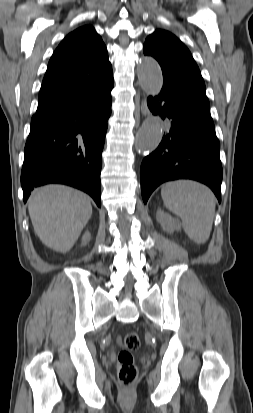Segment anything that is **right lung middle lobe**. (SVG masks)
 <instances>
[{
	"mask_svg": "<svg viewBox=\"0 0 253 413\" xmlns=\"http://www.w3.org/2000/svg\"><path fill=\"white\" fill-rule=\"evenodd\" d=\"M45 120H46V118H43V117H34L31 120V126H35L37 124H40V123L44 122Z\"/></svg>",
	"mask_w": 253,
	"mask_h": 413,
	"instance_id": "obj_1",
	"label": "right lung middle lobe"
}]
</instances>
